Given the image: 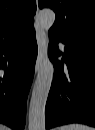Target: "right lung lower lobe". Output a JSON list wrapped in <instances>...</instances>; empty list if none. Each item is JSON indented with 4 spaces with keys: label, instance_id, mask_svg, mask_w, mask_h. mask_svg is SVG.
Returning <instances> with one entry per match:
<instances>
[{
    "label": "right lung lower lobe",
    "instance_id": "1",
    "mask_svg": "<svg viewBox=\"0 0 95 130\" xmlns=\"http://www.w3.org/2000/svg\"><path fill=\"white\" fill-rule=\"evenodd\" d=\"M37 43L34 28L20 38L0 45V122L22 130L32 82Z\"/></svg>",
    "mask_w": 95,
    "mask_h": 130
}]
</instances>
